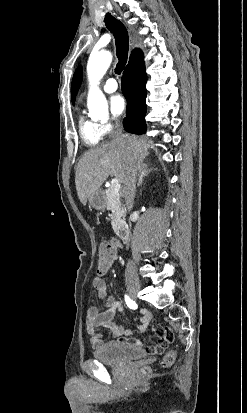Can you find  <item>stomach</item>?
Segmentation results:
<instances>
[{
    "mask_svg": "<svg viewBox=\"0 0 247 413\" xmlns=\"http://www.w3.org/2000/svg\"><path fill=\"white\" fill-rule=\"evenodd\" d=\"M88 200L90 207L97 209V211H104L105 207H107V196L101 188L92 192V194L88 196Z\"/></svg>",
    "mask_w": 247,
    "mask_h": 413,
    "instance_id": "0dacf381",
    "label": "stomach"
}]
</instances>
